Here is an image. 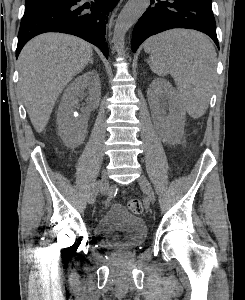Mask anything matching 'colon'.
Wrapping results in <instances>:
<instances>
[{
    "label": "colon",
    "instance_id": "1",
    "mask_svg": "<svg viewBox=\"0 0 245 300\" xmlns=\"http://www.w3.org/2000/svg\"><path fill=\"white\" fill-rule=\"evenodd\" d=\"M129 209L134 214H140L143 211V203L140 199L134 198L129 201Z\"/></svg>",
    "mask_w": 245,
    "mask_h": 300
}]
</instances>
